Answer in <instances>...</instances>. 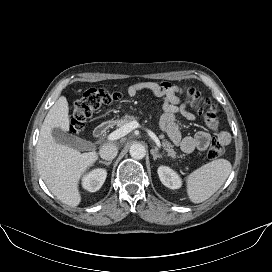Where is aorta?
I'll return each mask as SVG.
<instances>
[{
    "label": "aorta",
    "mask_w": 272,
    "mask_h": 272,
    "mask_svg": "<svg viewBox=\"0 0 272 272\" xmlns=\"http://www.w3.org/2000/svg\"><path fill=\"white\" fill-rule=\"evenodd\" d=\"M129 152L134 159H142L146 154L145 147L139 143L131 145Z\"/></svg>",
    "instance_id": "obj_1"
}]
</instances>
